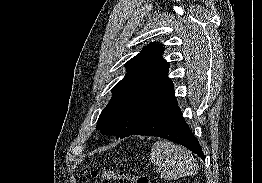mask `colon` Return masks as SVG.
I'll return each mask as SVG.
<instances>
[{
	"label": "colon",
	"instance_id": "5ec220e1",
	"mask_svg": "<svg viewBox=\"0 0 262 183\" xmlns=\"http://www.w3.org/2000/svg\"><path fill=\"white\" fill-rule=\"evenodd\" d=\"M90 177L94 180L116 181L117 183H151L150 179L146 176H131L112 170L92 171Z\"/></svg>",
	"mask_w": 262,
	"mask_h": 183
}]
</instances>
